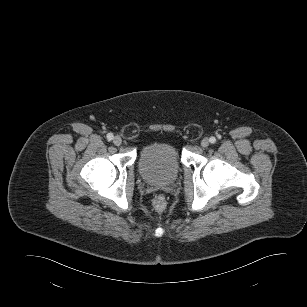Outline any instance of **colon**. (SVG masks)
Returning <instances> with one entry per match:
<instances>
[{
  "mask_svg": "<svg viewBox=\"0 0 307 307\" xmlns=\"http://www.w3.org/2000/svg\"><path fill=\"white\" fill-rule=\"evenodd\" d=\"M153 207L156 211L161 212L166 207V200L162 195H158L153 200Z\"/></svg>",
  "mask_w": 307,
  "mask_h": 307,
  "instance_id": "1",
  "label": "colon"
}]
</instances>
